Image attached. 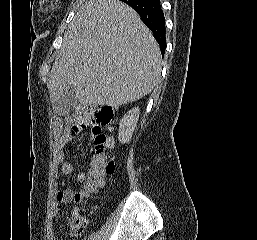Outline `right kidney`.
Listing matches in <instances>:
<instances>
[{
    "label": "right kidney",
    "mask_w": 257,
    "mask_h": 240,
    "mask_svg": "<svg viewBox=\"0 0 257 240\" xmlns=\"http://www.w3.org/2000/svg\"><path fill=\"white\" fill-rule=\"evenodd\" d=\"M139 107L127 112L119 123L118 139L122 144L128 143L133 135L139 119Z\"/></svg>",
    "instance_id": "obj_1"
}]
</instances>
